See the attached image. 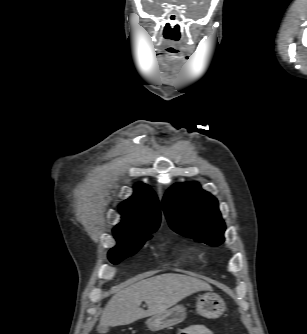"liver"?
Masks as SVG:
<instances>
[{
  "label": "liver",
  "instance_id": "liver-1",
  "mask_svg": "<svg viewBox=\"0 0 307 334\" xmlns=\"http://www.w3.org/2000/svg\"><path fill=\"white\" fill-rule=\"evenodd\" d=\"M198 291H212V287L200 279L175 273L144 279L118 291L109 300L100 324L105 327L130 324L159 314ZM142 301L147 310L140 308Z\"/></svg>",
  "mask_w": 307,
  "mask_h": 334
}]
</instances>
